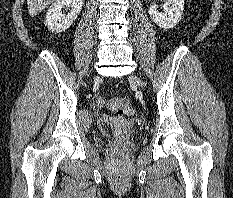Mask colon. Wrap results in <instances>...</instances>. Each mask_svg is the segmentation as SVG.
I'll list each match as a JSON object with an SVG mask.
<instances>
[{"label":"colon","mask_w":233,"mask_h":198,"mask_svg":"<svg viewBox=\"0 0 233 198\" xmlns=\"http://www.w3.org/2000/svg\"><path fill=\"white\" fill-rule=\"evenodd\" d=\"M97 105L100 108L116 110L121 114L125 115H133L135 113V108L127 97H120L114 99L99 97L97 99Z\"/></svg>","instance_id":"5ec220e1"}]
</instances>
